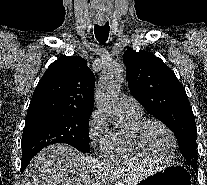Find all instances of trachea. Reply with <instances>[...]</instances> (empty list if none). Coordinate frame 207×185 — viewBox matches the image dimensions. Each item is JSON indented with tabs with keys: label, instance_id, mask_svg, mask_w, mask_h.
I'll use <instances>...</instances> for the list:
<instances>
[{
	"label": "trachea",
	"instance_id": "obj_1",
	"mask_svg": "<svg viewBox=\"0 0 207 185\" xmlns=\"http://www.w3.org/2000/svg\"><path fill=\"white\" fill-rule=\"evenodd\" d=\"M109 30H110V28H109L108 22H106V24L103 26L95 25L94 33H95L96 39L100 43H105L108 39V36H109Z\"/></svg>",
	"mask_w": 207,
	"mask_h": 185
}]
</instances>
